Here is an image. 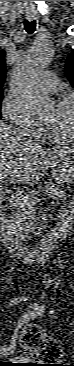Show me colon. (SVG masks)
Here are the masks:
<instances>
[{
    "label": "colon",
    "mask_w": 74,
    "mask_h": 366,
    "mask_svg": "<svg viewBox=\"0 0 74 366\" xmlns=\"http://www.w3.org/2000/svg\"><path fill=\"white\" fill-rule=\"evenodd\" d=\"M68 229L67 222H64L59 232L64 234ZM20 343L27 356L31 359H53V357L60 354L58 345L47 339L42 331L38 328L29 327L25 329L20 337Z\"/></svg>",
    "instance_id": "5ec220e1"
}]
</instances>
